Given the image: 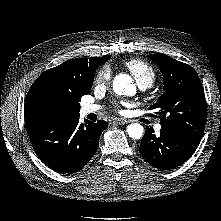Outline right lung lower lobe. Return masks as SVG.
<instances>
[{"label":"right lung lower lobe","instance_id":"right-lung-lower-lobe-1","mask_svg":"<svg viewBox=\"0 0 221 221\" xmlns=\"http://www.w3.org/2000/svg\"><path fill=\"white\" fill-rule=\"evenodd\" d=\"M32 146L49 168L62 173H75L82 169L99 147L106 121L85 120L79 123V114L54 120L25 119Z\"/></svg>","mask_w":221,"mask_h":221}]
</instances>
